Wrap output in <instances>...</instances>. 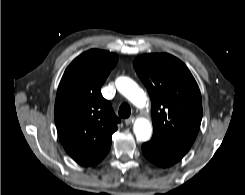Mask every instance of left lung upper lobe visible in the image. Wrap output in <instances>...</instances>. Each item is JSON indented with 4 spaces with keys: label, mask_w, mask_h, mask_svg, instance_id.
I'll use <instances>...</instances> for the list:
<instances>
[{
    "label": "left lung upper lobe",
    "mask_w": 245,
    "mask_h": 195,
    "mask_svg": "<svg viewBox=\"0 0 245 195\" xmlns=\"http://www.w3.org/2000/svg\"><path fill=\"white\" fill-rule=\"evenodd\" d=\"M133 65L151 98L153 134L191 146L201 124L202 100L188 68L166 53L139 56Z\"/></svg>",
    "instance_id": "obj_1"
}]
</instances>
